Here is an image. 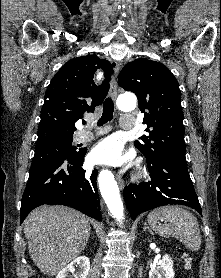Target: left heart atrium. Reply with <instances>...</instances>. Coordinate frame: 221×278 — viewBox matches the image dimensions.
<instances>
[{
	"mask_svg": "<svg viewBox=\"0 0 221 278\" xmlns=\"http://www.w3.org/2000/svg\"><path fill=\"white\" fill-rule=\"evenodd\" d=\"M90 157L95 163L119 164L124 160L122 144L116 137H108L94 147Z\"/></svg>",
	"mask_w": 221,
	"mask_h": 278,
	"instance_id": "1",
	"label": "left heart atrium"
}]
</instances>
